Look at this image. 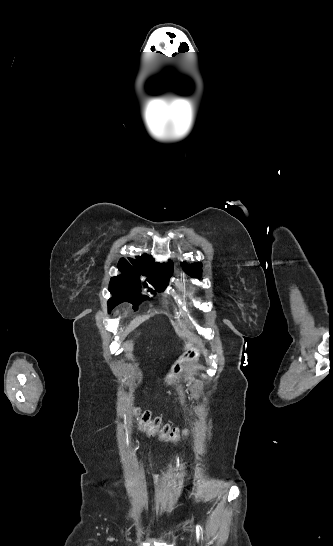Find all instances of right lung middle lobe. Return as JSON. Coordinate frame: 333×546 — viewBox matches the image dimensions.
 <instances>
[{
  "instance_id": "right-lung-middle-lobe-1",
  "label": "right lung middle lobe",
  "mask_w": 333,
  "mask_h": 546,
  "mask_svg": "<svg viewBox=\"0 0 333 546\" xmlns=\"http://www.w3.org/2000/svg\"><path fill=\"white\" fill-rule=\"evenodd\" d=\"M119 269L124 272V275L111 278L109 290L114 295V297L108 301L109 312L119 303L124 301L129 302L130 298H136L137 304L145 299H148V296H141L140 291H137L135 289V286H140L139 276L126 273L120 266ZM172 272L173 265L167 264L161 266L159 264L157 266V277L160 279L168 280L169 276L172 275ZM147 281H149L156 288L157 291H163L167 285V283L159 284L152 282L150 278H148ZM145 285L147 286V284ZM149 291H151V289ZM152 293L155 292L152 291ZM134 309L137 310L136 307H134Z\"/></svg>"
}]
</instances>
